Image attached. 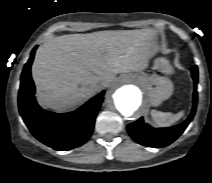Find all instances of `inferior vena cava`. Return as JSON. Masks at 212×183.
<instances>
[{
	"mask_svg": "<svg viewBox=\"0 0 212 183\" xmlns=\"http://www.w3.org/2000/svg\"><path fill=\"white\" fill-rule=\"evenodd\" d=\"M105 86H106V82L105 81H97L94 84V87H95L96 90H101Z\"/></svg>",
	"mask_w": 212,
	"mask_h": 183,
	"instance_id": "obj_1",
	"label": "inferior vena cava"
}]
</instances>
